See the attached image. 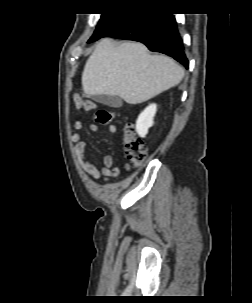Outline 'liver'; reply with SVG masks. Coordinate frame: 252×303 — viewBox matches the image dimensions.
<instances>
[{
  "label": "liver",
  "instance_id": "1",
  "mask_svg": "<svg viewBox=\"0 0 252 303\" xmlns=\"http://www.w3.org/2000/svg\"><path fill=\"white\" fill-rule=\"evenodd\" d=\"M184 70L165 55H150L141 43L102 39L88 58L82 87L87 97L119 96L128 104L143 103L178 85Z\"/></svg>",
  "mask_w": 252,
  "mask_h": 303
}]
</instances>
